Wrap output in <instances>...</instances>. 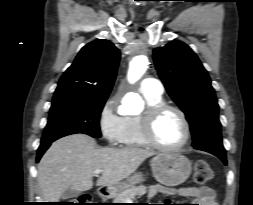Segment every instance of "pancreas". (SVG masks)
<instances>
[{"label":"pancreas","instance_id":"pancreas-1","mask_svg":"<svg viewBox=\"0 0 253 205\" xmlns=\"http://www.w3.org/2000/svg\"><path fill=\"white\" fill-rule=\"evenodd\" d=\"M147 192V187L144 185L132 187L124 190L114 197L113 203H131L137 196H143Z\"/></svg>","mask_w":253,"mask_h":205}]
</instances>
